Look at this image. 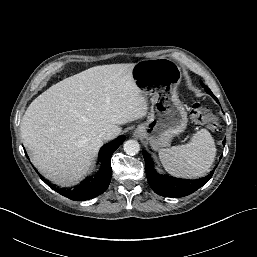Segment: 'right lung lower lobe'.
Masks as SVG:
<instances>
[{"label": "right lung lower lobe", "instance_id": "98d812e1", "mask_svg": "<svg viewBox=\"0 0 257 257\" xmlns=\"http://www.w3.org/2000/svg\"><path fill=\"white\" fill-rule=\"evenodd\" d=\"M124 139V136H120L116 140L102 146L98 158L99 162L101 163L100 169L95 174H92L91 176L84 179L73 190L62 191L55 189L43 178L41 179L50 188L71 200L84 201L95 198L105 192L109 186L112 177L111 156L113 152L119 147V145L123 143Z\"/></svg>", "mask_w": 257, "mask_h": 257}]
</instances>
